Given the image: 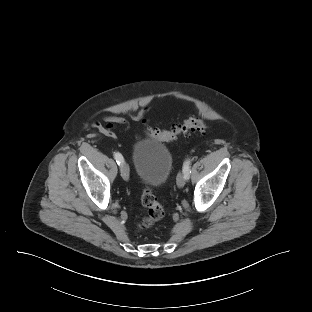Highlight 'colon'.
<instances>
[{"label":"colon","instance_id":"5ec220e1","mask_svg":"<svg viewBox=\"0 0 312 312\" xmlns=\"http://www.w3.org/2000/svg\"><path fill=\"white\" fill-rule=\"evenodd\" d=\"M208 129L209 125L205 121L192 118L183 123L174 124L168 130L147 128L145 134L150 138L160 141H173L182 135H187L192 132H205ZM141 202L146 208V215L139 221L138 228L143 231L161 220L165 216V210L150 188H145L143 190Z\"/></svg>","mask_w":312,"mask_h":312}]
</instances>
